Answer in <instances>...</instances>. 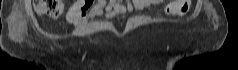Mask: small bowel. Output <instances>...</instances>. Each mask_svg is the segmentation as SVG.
<instances>
[{"label": "small bowel", "instance_id": "obj_1", "mask_svg": "<svg viewBox=\"0 0 238 70\" xmlns=\"http://www.w3.org/2000/svg\"><path fill=\"white\" fill-rule=\"evenodd\" d=\"M158 3H160L159 0H98L95 3L79 0L68 10L67 20L74 25H79L84 20L99 17L103 13H105L106 17L111 18L116 15L143 10L150 5ZM178 7L179 3L173 1L166 6L165 13L175 14Z\"/></svg>", "mask_w": 238, "mask_h": 70}]
</instances>
